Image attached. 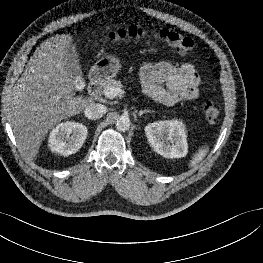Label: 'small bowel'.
I'll list each match as a JSON object with an SVG mask.
<instances>
[{
    "instance_id": "small-bowel-1",
    "label": "small bowel",
    "mask_w": 263,
    "mask_h": 263,
    "mask_svg": "<svg viewBox=\"0 0 263 263\" xmlns=\"http://www.w3.org/2000/svg\"><path fill=\"white\" fill-rule=\"evenodd\" d=\"M140 79L144 94L165 105L194 100L199 95L200 78L190 63L145 62L140 67Z\"/></svg>"
}]
</instances>
